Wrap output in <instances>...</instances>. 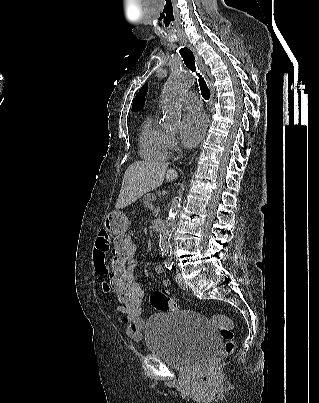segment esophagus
Listing matches in <instances>:
<instances>
[{"mask_svg":"<svg viewBox=\"0 0 319 403\" xmlns=\"http://www.w3.org/2000/svg\"><path fill=\"white\" fill-rule=\"evenodd\" d=\"M188 47L190 48V50L193 52V54L195 56L197 68L204 75V77H205V79H206V81L208 83V86H209V89H210V104L212 105L213 102H214V95H215V87H214L213 77L210 74L209 69L204 65V63H203L200 55L196 51V49L193 46H191L190 44L188 45ZM192 160H193V158H192ZM192 160H191V162H192Z\"/></svg>","mask_w":319,"mask_h":403,"instance_id":"obj_1","label":"esophagus"}]
</instances>
